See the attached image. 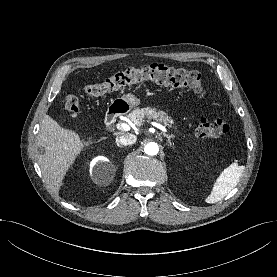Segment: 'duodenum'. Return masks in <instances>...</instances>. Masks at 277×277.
<instances>
[{
    "mask_svg": "<svg viewBox=\"0 0 277 277\" xmlns=\"http://www.w3.org/2000/svg\"><path fill=\"white\" fill-rule=\"evenodd\" d=\"M122 109L119 107L111 108L105 116L104 122L106 126H111L121 114Z\"/></svg>",
    "mask_w": 277,
    "mask_h": 277,
    "instance_id": "410a0bca",
    "label": "duodenum"
}]
</instances>
